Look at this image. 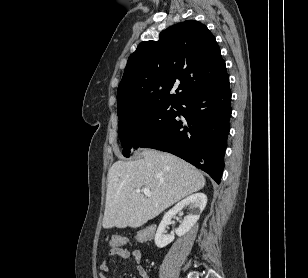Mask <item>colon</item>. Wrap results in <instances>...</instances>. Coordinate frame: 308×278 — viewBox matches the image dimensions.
<instances>
[{"mask_svg": "<svg viewBox=\"0 0 308 278\" xmlns=\"http://www.w3.org/2000/svg\"><path fill=\"white\" fill-rule=\"evenodd\" d=\"M154 226H145L144 230H139L138 235L134 237L136 242H153L156 235ZM113 248H119L127 243V239L120 235H114L109 241Z\"/></svg>", "mask_w": 308, "mask_h": 278, "instance_id": "colon-1", "label": "colon"}]
</instances>
